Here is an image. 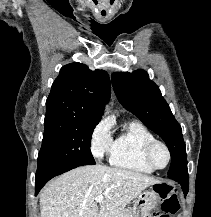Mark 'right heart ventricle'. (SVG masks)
<instances>
[{"label":"right heart ventricle","instance_id":"right-heart-ventricle-1","mask_svg":"<svg viewBox=\"0 0 211 217\" xmlns=\"http://www.w3.org/2000/svg\"><path fill=\"white\" fill-rule=\"evenodd\" d=\"M154 139V135L144 125L130 122L113 141L110 163L141 173H153L154 169L144 159V148Z\"/></svg>","mask_w":211,"mask_h":217}]
</instances>
